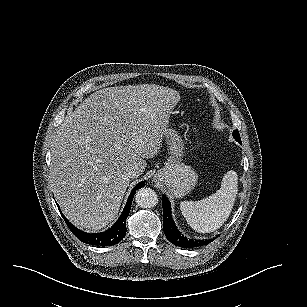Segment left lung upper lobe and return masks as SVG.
<instances>
[{
	"label": "left lung upper lobe",
	"instance_id": "left-lung-upper-lobe-1",
	"mask_svg": "<svg viewBox=\"0 0 307 307\" xmlns=\"http://www.w3.org/2000/svg\"><path fill=\"white\" fill-rule=\"evenodd\" d=\"M233 137H234V139H235L237 142H239V143L241 144V138H240V134H239L238 130H236V131L233 132Z\"/></svg>",
	"mask_w": 307,
	"mask_h": 307
}]
</instances>
